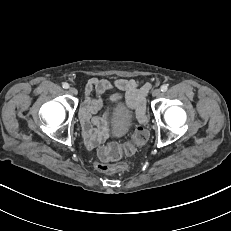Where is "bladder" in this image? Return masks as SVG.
Segmentation results:
<instances>
[{"label":"bladder","instance_id":"1","mask_svg":"<svg viewBox=\"0 0 231 231\" xmlns=\"http://www.w3.org/2000/svg\"><path fill=\"white\" fill-rule=\"evenodd\" d=\"M131 126V116L127 109L120 107L115 113V135L126 134Z\"/></svg>","mask_w":231,"mask_h":231}]
</instances>
